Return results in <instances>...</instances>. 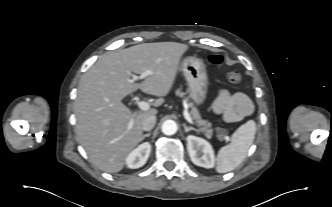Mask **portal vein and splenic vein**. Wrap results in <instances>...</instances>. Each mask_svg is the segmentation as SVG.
I'll use <instances>...</instances> for the list:
<instances>
[{"label": "portal vein and splenic vein", "instance_id": "18ae733b", "mask_svg": "<svg viewBox=\"0 0 332 207\" xmlns=\"http://www.w3.org/2000/svg\"><path fill=\"white\" fill-rule=\"evenodd\" d=\"M152 72L151 71H145L144 73H142L140 76H136L134 75L132 78V81H137V80H141L144 79L145 77H147L148 75H150ZM138 107L142 110V111H147L150 108V104L145 102V101H139L138 102ZM184 117L185 119L190 123V124H194V121L192 120L190 114L187 111H184ZM133 123L130 122L128 124V131L132 128Z\"/></svg>", "mask_w": 332, "mask_h": 207}]
</instances>
